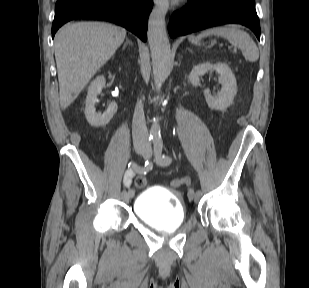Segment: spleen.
Segmentation results:
<instances>
[{
	"label": "spleen",
	"mask_w": 309,
	"mask_h": 288,
	"mask_svg": "<svg viewBox=\"0 0 309 288\" xmlns=\"http://www.w3.org/2000/svg\"><path fill=\"white\" fill-rule=\"evenodd\" d=\"M220 36L227 39L233 46L241 49L247 61L255 62L259 59V51L248 33L234 26L215 27L202 31L198 39L208 36Z\"/></svg>",
	"instance_id": "3e777b00"
}]
</instances>
